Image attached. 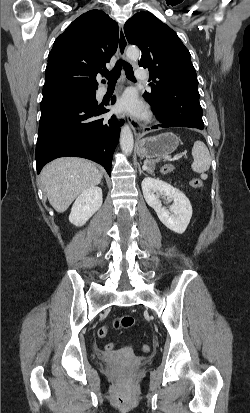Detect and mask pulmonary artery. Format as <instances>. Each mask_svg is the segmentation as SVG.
Listing matches in <instances>:
<instances>
[{
  "label": "pulmonary artery",
  "mask_w": 250,
  "mask_h": 413,
  "mask_svg": "<svg viewBox=\"0 0 250 413\" xmlns=\"http://www.w3.org/2000/svg\"><path fill=\"white\" fill-rule=\"evenodd\" d=\"M136 77H137V79H139L141 81H145V80H147V77H148L147 72L144 69L139 68V69L136 70ZM106 89H107L106 87H102L101 91L105 92Z\"/></svg>",
  "instance_id": "pulmonary-artery-1"
}]
</instances>
